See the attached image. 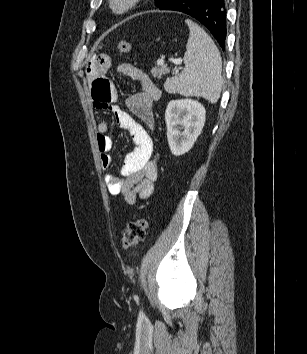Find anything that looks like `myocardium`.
I'll return each instance as SVG.
<instances>
[{
    "label": "myocardium",
    "mask_w": 307,
    "mask_h": 354,
    "mask_svg": "<svg viewBox=\"0 0 307 354\" xmlns=\"http://www.w3.org/2000/svg\"><path fill=\"white\" fill-rule=\"evenodd\" d=\"M141 0H109V6L113 13L121 15L134 9Z\"/></svg>",
    "instance_id": "f54148a6"
}]
</instances>
